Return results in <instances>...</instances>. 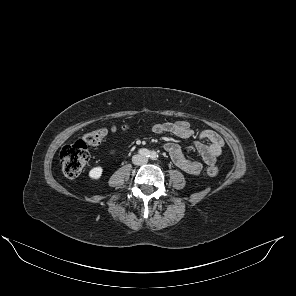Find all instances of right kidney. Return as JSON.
<instances>
[{"mask_svg":"<svg viewBox=\"0 0 296 296\" xmlns=\"http://www.w3.org/2000/svg\"><path fill=\"white\" fill-rule=\"evenodd\" d=\"M102 173H103V168L101 166H97V167L92 168L89 171V177L92 180H98L102 176Z\"/></svg>","mask_w":296,"mask_h":296,"instance_id":"1","label":"right kidney"}]
</instances>
